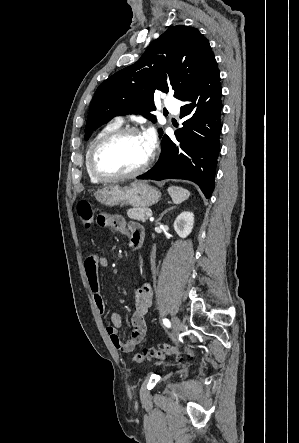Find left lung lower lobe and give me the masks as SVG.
Returning a JSON list of instances; mask_svg holds the SVG:
<instances>
[{"label": "left lung lower lobe", "instance_id": "1", "mask_svg": "<svg viewBox=\"0 0 299 443\" xmlns=\"http://www.w3.org/2000/svg\"><path fill=\"white\" fill-rule=\"evenodd\" d=\"M221 85L216 60L201 79L180 99L183 128L175 139L162 138L161 155L148 172L137 179L191 180L209 198L214 189L217 157L220 151Z\"/></svg>", "mask_w": 299, "mask_h": 443}]
</instances>
